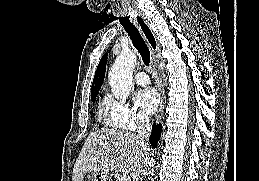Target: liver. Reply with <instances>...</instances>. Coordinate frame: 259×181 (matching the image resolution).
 <instances>
[{
	"mask_svg": "<svg viewBox=\"0 0 259 181\" xmlns=\"http://www.w3.org/2000/svg\"><path fill=\"white\" fill-rule=\"evenodd\" d=\"M151 150H144L136 134L118 130H97L88 135L73 168V181L87 173L109 174L114 170L130 173L137 181L151 164Z\"/></svg>",
	"mask_w": 259,
	"mask_h": 181,
	"instance_id": "obj_1",
	"label": "liver"
}]
</instances>
